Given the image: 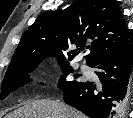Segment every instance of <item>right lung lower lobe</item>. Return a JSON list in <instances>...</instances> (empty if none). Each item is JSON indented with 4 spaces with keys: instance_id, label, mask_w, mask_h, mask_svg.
Listing matches in <instances>:
<instances>
[{
    "instance_id": "98d812e1",
    "label": "right lung lower lobe",
    "mask_w": 133,
    "mask_h": 118,
    "mask_svg": "<svg viewBox=\"0 0 133 118\" xmlns=\"http://www.w3.org/2000/svg\"><path fill=\"white\" fill-rule=\"evenodd\" d=\"M99 83L81 82L63 90L64 101L91 118H122L129 98L132 43L102 54L92 64Z\"/></svg>"
}]
</instances>
